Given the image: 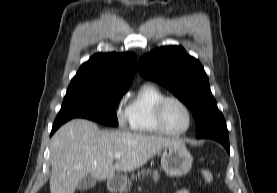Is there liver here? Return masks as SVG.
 Returning a JSON list of instances; mask_svg holds the SVG:
<instances>
[{"label":"liver","mask_w":277,"mask_h":193,"mask_svg":"<svg viewBox=\"0 0 277 193\" xmlns=\"http://www.w3.org/2000/svg\"><path fill=\"white\" fill-rule=\"evenodd\" d=\"M184 144L179 139L126 131H101L89 120L74 119L51 140V193H74L85 177L111 179L116 172L143 166L162 149ZM121 153L120 159L115 154Z\"/></svg>","instance_id":"6515ba94"}]
</instances>
